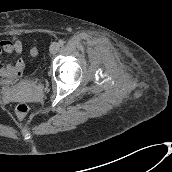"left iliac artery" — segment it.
Listing matches in <instances>:
<instances>
[{
    "label": "left iliac artery",
    "instance_id": "obj_1",
    "mask_svg": "<svg viewBox=\"0 0 172 172\" xmlns=\"http://www.w3.org/2000/svg\"><path fill=\"white\" fill-rule=\"evenodd\" d=\"M64 41L63 40H59V42H58V44L60 45V46H63L64 45Z\"/></svg>",
    "mask_w": 172,
    "mask_h": 172
}]
</instances>
